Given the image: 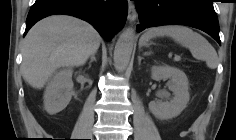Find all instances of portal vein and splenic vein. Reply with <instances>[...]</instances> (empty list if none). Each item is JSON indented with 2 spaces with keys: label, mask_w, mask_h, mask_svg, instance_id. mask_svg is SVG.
Returning <instances> with one entry per match:
<instances>
[{
  "label": "portal vein and splenic vein",
  "mask_w": 236,
  "mask_h": 140,
  "mask_svg": "<svg viewBox=\"0 0 236 140\" xmlns=\"http://www.w3.org/2000/svg\"><path fill=\"white\" fill-rule=\"evenodd\" d=\"M174 60H175V61H179V60H180V56L175 55Z\"/></svg>",
  "instance_id": "obj_1"
}]
</instances>
